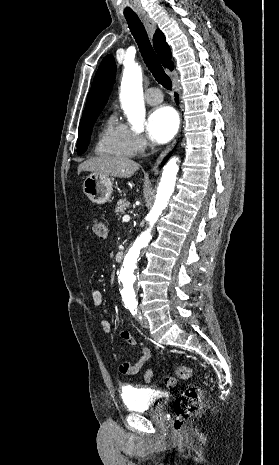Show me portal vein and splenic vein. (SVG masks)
Segmentation results:
<instances>
[{
    "instance_id": "18ae733b",
    "label": "portal vein and splenic vein",
    "mask_w": 279,
    "mask_h": 465,
    "mask_svg": "<svg viewBox=\"0 0 279 465\" xmlns=\"http://www.w3.org/2000/svg\"><path fill=\"white\" fill-rule=\"evenodd\" d=\"M130 221V216L129 215H124L123 216V222H128Z\"/></svg>"
}]
</instances>
